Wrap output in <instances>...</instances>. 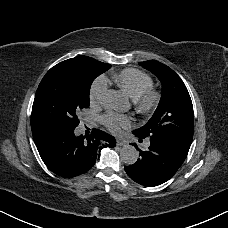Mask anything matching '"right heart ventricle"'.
Returning <instances> with one entry per match:
<instances>
[{"label":"right heart ventricle","mask_w":228,"mask_h":228,"mask_svg":"<svg viewBox=\"0 0 228 228\" xmlns=\"http://www.w3.org/2000/svg\"><path fill=\"white\" fill-rule=\"evenodd\" d=\"M109 78L101 75L105 85L115 84L119 91L134 98L152 87V79L137 69H125L121 72H109Z\"/></svg>","instance_id":"1"}]
</instances>
